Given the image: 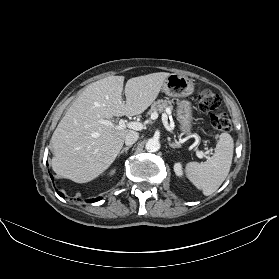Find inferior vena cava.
Wrapping results in <instances>:
<instances>
[{
    "label": "inferior vena cava",
    "mask_w": 279,
    "mask_h": 279,
    "mask_svg": "<svg viewBox=\"0 0 279 279\" xmlns=\"http://www.w3.org/2000/svg\"><path fill=\"white\" fill-rule=\"evenodd\" d=\"M139 138V133L130 130L125 137V144L128 146L133 145Z\"/></svg>",
    "instance_id": "obj_1"
}]
</instances>
